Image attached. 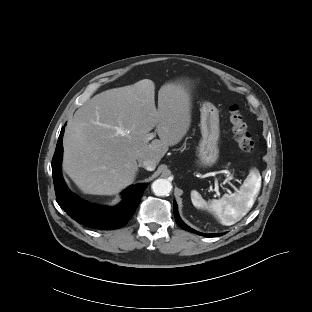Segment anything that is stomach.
<instances>
[{
  "label": "stomach",
  "instance_id": "stomach-1",
  "mask_svg": "<svg viewBox=\"0 0 312 312\" xmlns=\"http://www.w3.org/2000/svg\"><path fill=\"white\" fill-rule=\"evenodd\" d=\"M200 129L202 139L198 146V164L211 166L219 157V111L210 102H205L201 107Z\"/></svg>",
  "mask_w": 312,
  "mask_h": 312
}]
</instances>
